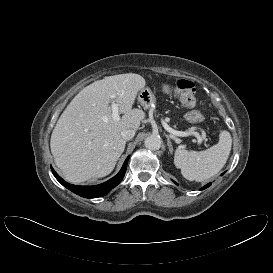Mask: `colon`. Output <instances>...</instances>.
Returning a JSON list of instances; mask_svg holds the SVG:
<instances>
[{
	"mask_svg": "<svg viewBox=\"0 0 273 273\" xmlns=\"http://www.w3.org/2000/svg\"><path fill=\"white\" fill-rule=\"evenodd\" d=\"M167 91L179 96L181 103L187 107H193L196 103L195 86L191 81L182 79L174 85L166 87ZM186 119L192 123H198L203 120V116L196 110H191L186 114Z\"/></svg>",
	"mask_w": 273,
	"mask_h": 273,
	"instance_id": "5ec220e1",
	"label": "colon"
}]
</instances>
